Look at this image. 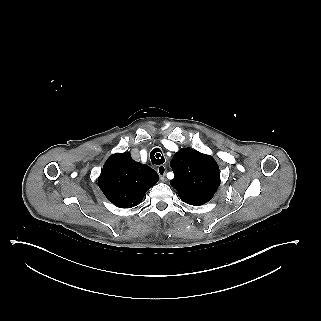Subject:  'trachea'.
<instances>
[{"label":"trachea","mask_w":321,"mask_h":321,"mask_svg":"<svg viewBox=\"0 0 321 321\" xmlns=\"http://www.w3.org/2000/svg\"><path fill=\"white\" fill-rule=\"evenodd\" d=\"M150 158L153 165H161L165 162L164 156L158 148L151 151Z\"/></svg>","instance_id":"3493384b"}]
</instances>
